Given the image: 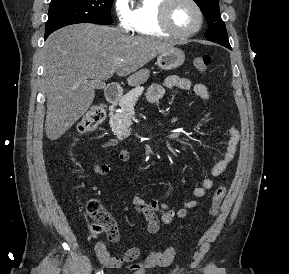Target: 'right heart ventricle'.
Listing matches in <instances>:
<instances>
[{
    "mask_svg": "<svg viewBox=\"0 0 289 274\" xmlns=\"http://www.w3.org/2000/svg\"><path fill=\"white\" fill-rule=\"evenodd\" d=\"M163 0H137L131 10L132 30L145 36H170L159 24V9Z\"/></svg>",
    "mask_w": 289,
    "mask_h": 274,
    "instance_id": "right-heart-ventricle-1",
    "label": "right heart ventricle"
}]
</instances>
